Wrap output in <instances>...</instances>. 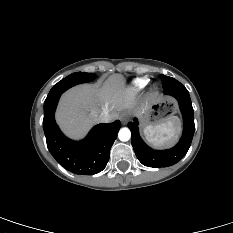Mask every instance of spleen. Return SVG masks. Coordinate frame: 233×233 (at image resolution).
<instances>
[{
  "label": "spleen",
  "instance_id": "spleen-1",
  "mask_svg": "<svg viewBox=\"0 0 233 233\" xmlns=\"http://www.w3.org/2000/svg\"><path fill=\"white\" fill-rule=\"evenodd\" d=\"M180 129L179 118L172 116L167 122L144 129L147 141L155 147H162L174 141Z\"/></svg>",
  "mask_w": 233,
  "mask_h": 233
}]
</instances>
